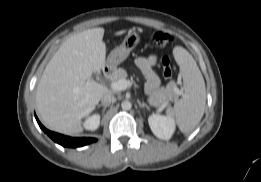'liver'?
Instances as JSON below:
<instances>
[{
    "label": "liver",
    "mask_w": 261,
    "mask_h": 182,
    "mask_svg": "<svg viewBox=\"0 0 261 182\" xmlns=\"http://www.w3.org/2000/svg\"><path fill=\"white\" fill-rule=\"evenodd\" d=\"M104 28L68 38L46 65L36 90V105L44 125L64 134L82 132L81 121L109 89L92 79L106 64ZM125 31H118L121 35Z\"/></svg>",
    "instance_id": "liver-1"
}]
</instances>
